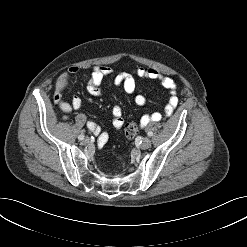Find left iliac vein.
Returning a JSON list of instances; mask_svg holds the SVG:
<instances>
[{
	"instance_id": "left-iliac-vein-1",
	"label": "left iliac vein",
	"mask_w": 247,
	"mask_h": 247,
	"mask_svg": "<svg viewBox=\"0 0 247 247\" xmlns=\"http://www.w3.org/2000/svg\"><path fill=\"white\" fill-rule=\"evenodd\" d=\"M141 149H148L151 147V140L149 138H144L141 145Z\"/></svg>"
}]
</instances>
